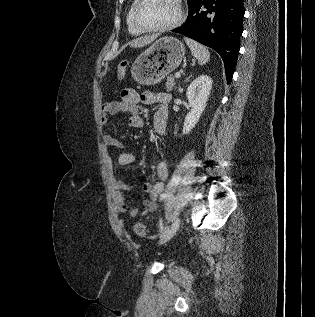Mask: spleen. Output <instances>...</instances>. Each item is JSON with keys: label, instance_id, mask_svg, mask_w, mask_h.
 Masks as SVG:
<instances>
[{"label": "spleen", "instance_id": "obj_1", "mask_svg": "<svg viewBox=\"0 0 315 317\" xmlns=\"http://www.w3.org/2000/svg\"><path fill=\"white\" fill-rule=\"evenodd\" d=\"M184 40L189 46L192 55L198 60L199 65H204L209 61L210 52L205 46L187 37H184Z\"/></svg>", "mask_w": 315, "mask_h": 317}]
</instances>
